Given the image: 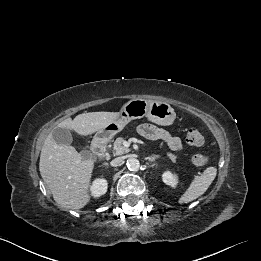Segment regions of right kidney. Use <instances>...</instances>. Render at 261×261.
Here are the masks:
<instances>
[{
    "mask_svg": "<svg viewBox=\"0 0 261 261\" xmlns=\"http://www.w3.org/2000/svg\"><path fill=\"white\" fill-rule=\"evenodd\" d=\"M108 183L104 178H97L93 181L90 191L91 195L95 198H98L104 195L107 192Z\"/></svg>",
    "mask_w": 261,
    "mask_h": 261,
    "instance_id": "right-kidney-1",
    "label": "right kidney"
}]
</instances>
